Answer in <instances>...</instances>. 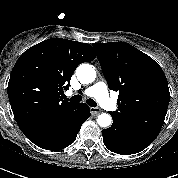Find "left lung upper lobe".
<instances>
[{"label": "left lung upper lobe", "mask_w": 178, "mask_h": 178, "mask_svg": "<svg viewBox=\"0 0 178 178\" xmlns=\"http://www.w3.org/2000/svg\"><path fill=\"white\" fill-rule=\"evenodd\" d=\"M102 72L118 91L114 121L155 139L164 123L170 93L161 67L148 55L125 42L92 44Z\"/></svg>", "instance_id": "left-lung-upper-lobe-1"}]
</instances>
